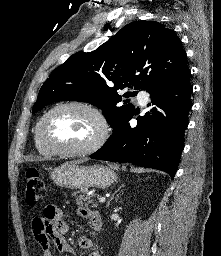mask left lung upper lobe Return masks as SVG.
<instances>
[{
    "mask_svg": "<svg viewBox=\"0 0 221 256\" xmlns=\"http://www.w3.org/2000/svg\"><path fill=\"white\" fill-rule=\"evenodd\" d=\"M186 53L174 31L156 21H135L92 52H77L42 85L32 113L58 101L88 102L102 109L114 129L130 119L134 106L124 97L149 91L186 66Z\"/></svg>",
    "mask_w": 221,
    "mask_h": 256,
    "instance_id": "obj_1",
    "label": "left lung upper lobe"
}]
</instances>
